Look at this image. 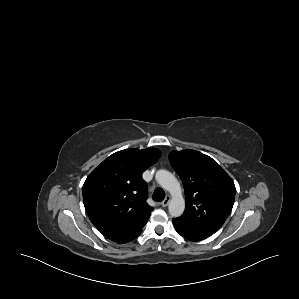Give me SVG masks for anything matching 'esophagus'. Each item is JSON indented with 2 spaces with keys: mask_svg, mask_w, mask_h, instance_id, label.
Wrapping results in <instances>:
<instances>
[{
  "mask_svg": "<svg viewBox=\"0 0 299 299\" xmlns=\"http://www.w3.org/2000/svg\"><path fill=\"white\" fill-rule=\"evenodd\" d=\"M170 196H166V198L161 202L162 207H166L169 204Z\"/></svg>",
  "mask_w": 299,
  "mask_h": 299,
  "instance_id": "obj_1",
  "label": "esophagus"
}]
</instances>
